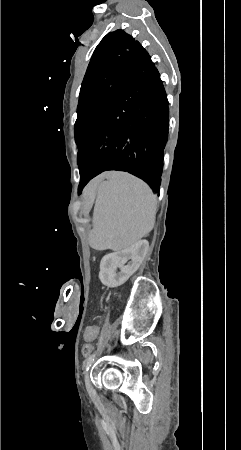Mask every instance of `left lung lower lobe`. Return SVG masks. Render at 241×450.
<instances>
[{"instance_id": "0a47b994", "label": "left lung lower lobe", "mask_w": 241, "mask_h": 450, "mask_svg": "<svg viewBox=\"0 0 241 450\" xmlns=\"http://www.w3.org/2000/svg\"><path fill=\"white\" fill-rule=\"evenodd\" d=\"M118 100L97 121L78 158V190L107 170L127 171L159 191L168 100L149 54L136 42Z\"/></svg>"}]
</instances>
